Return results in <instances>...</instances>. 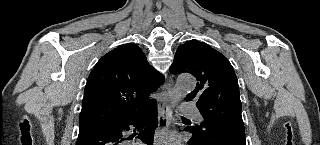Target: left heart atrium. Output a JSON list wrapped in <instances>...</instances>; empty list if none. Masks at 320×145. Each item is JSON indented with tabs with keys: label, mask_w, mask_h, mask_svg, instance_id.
<instances>
[{
	"label": "left heart atrium",
	"mask_w": 320,
	"mask_h": 145,
	"mask_svg": "<svg viewBox=\"0 0 320 145\" xmlns=\"http://www.w3.org/2000/svg\"><path fill=\"white\" fill-rule=\"evenodd\" d=\"M164 141L165 144H172L176 142V138L173 136H168L162 142Z\"/></svg>",
	"instance_id": "obj_1"
}]
</instances>
